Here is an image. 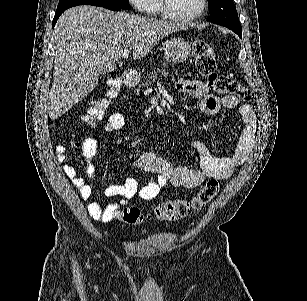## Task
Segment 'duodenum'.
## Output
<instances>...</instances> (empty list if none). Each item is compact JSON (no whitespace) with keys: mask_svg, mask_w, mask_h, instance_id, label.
<instances>
[{"mask_svg":"<svg viewBox=\"0 0 307 301\" xmlns=\"http://www.w3.org/2000/svg\"><path fill=\"white\" fill-rule=\"evenodd\" d=\"M123 79H124L125 84L129 86H132L136 81V78L132 73L124 74Z\"/></svg>","mask_w":307,"mask_h":301,"instance_id":"1","label":"duodenum"}]
</instances>
